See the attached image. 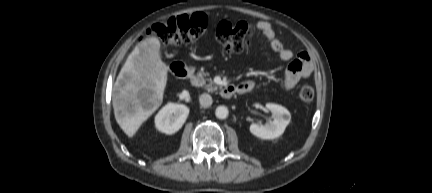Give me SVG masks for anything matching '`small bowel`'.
<instances>
[{
	"label": "small bowel",
	"mask_w": 432,
	"mask_h": 193,
	"mask_svg": "<svg viewBox=\"0 0 432 193\" xmlns=\"http://www.w3.org/2000/svg\"><path fill=\"white\" fill-rule=\"evenodd\" d=\"M254 26L266 37L270 48L277 54L279 59L289 63L283 79V86L286 90L293 89L300 80L308 78L311 75L313 64L306 52H300L295 55L290 49L286 48L276 37L275 30L269 22L258 21ZM237 87L240 93H245L253 89L254 83L250 80H245Z\"/></svg>",
	"instance_id": "small-bowel-1"
}]
</instances>
